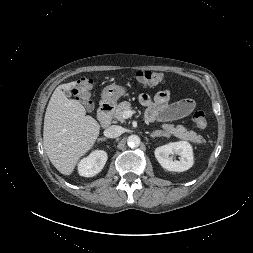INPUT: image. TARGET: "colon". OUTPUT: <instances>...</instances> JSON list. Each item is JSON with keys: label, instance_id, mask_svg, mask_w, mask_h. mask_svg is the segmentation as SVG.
<instances>
[{"label": "colon", "instance_id": "obj_1", "mask_svg": "<svg viewBox=\"0 0 253 253\" xmlns=\"http://www.w3.org/2000/svg\"><path fill=\"white\" fill-rule=\"evenodd\" d=\"M134 78L136 81L144 85H155L165 81V75L163 73L149 70L137 71L134 74ZM92 87L93 81L91 79L81 78L76 82L73 89V94L86 107L87 110H91L93 107L91 100ZM192 119L198 128L205 129L207 127L208 120L203 111H195Z\"/></svg>", "mask_w": 253, "mask_h": 253}]
</instances>
